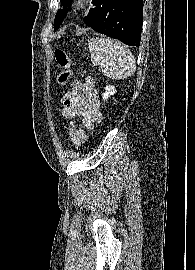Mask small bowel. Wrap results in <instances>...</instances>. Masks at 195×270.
Instances as JSON below:
<instances>
[{
  "instance_id": "c3829d8e",
  "label": "small bowel",
  "mask_w": 195,
  "mask_h": 270,
  "mask_svg": "<svg viewBox=\"0 0 195 270\" xmlns=\"http://www.w3.org/2000/svg\"><path fill=\"white\" fill-rule=\"evenodd\" d=\"M61 113L67 119L81 118L88 128H92L101 120L100 99L93 78L87 77L84 83H81L80 96L73 104L64 105ZM75 130L76 125L72 121L69 124L70 138L75 145H78L74 137Z\"/></svg>"
}]
</instances>
